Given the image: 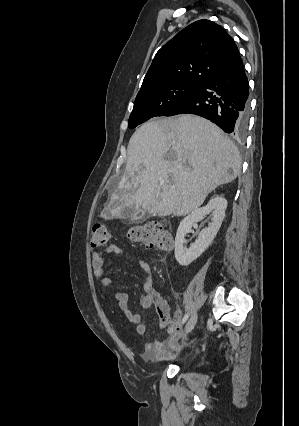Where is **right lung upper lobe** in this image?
Here are the masks:
<instances>
[{"instance_id":"right-lung-upper-lobe-1","label":"right lung upper lobe","mask_w":299,"mask_h":426,"mask_svg":"<svg viewBox=\"0 0 299 426\" xmlns=\"http://www.w3.org/2000/svg\"><path fill=\"white\" fill-rule=\"evenodd\" d=\"M238 57V48L225 29L209 20L196 21L157 52L138 95L173 83L202 86Z\"/></svg>"}]
</instances>
